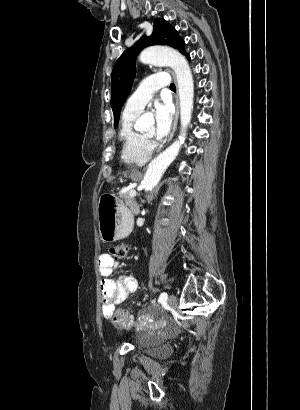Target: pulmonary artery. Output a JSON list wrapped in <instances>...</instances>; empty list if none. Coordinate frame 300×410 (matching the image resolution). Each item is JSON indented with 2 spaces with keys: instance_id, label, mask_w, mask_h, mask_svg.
Segmentation results:
<instances>
[{
  "instance_id": "pulmonary-artery-1",
  "label": "pulmonary artery",
  "mask_w": 300,
  "mask_h": 410,
  "mask_svg": "<svg viewBox=\"0 0 300 410\" xmlns=\"http://www.w3.org/2000/svg\"><path fill=\"white\" fill-rule=\"evenodd\" d=\"M169 82V76L165 72L156 73L145 78L141 82L139 89L128 98L125 104V111L141 112L153 94L158 89L168 86Z\"/></svg>"
}]
</instances>
